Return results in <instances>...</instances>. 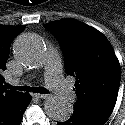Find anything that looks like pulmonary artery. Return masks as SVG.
<instances>
[{
	"mask_svg": "<svg viewBox=\"0 0 125 125\" xmlns=\"http://www.w3.org/2000/svg\"><path fill=\"white\" fill-rule=\"evenodd\" d=\"M45 63L46 81L50 88H52L61 99L73 101L76 98V94L61 76L59 59L55 56L48 55Z\"/></svg>",
	"mask_w": 125,
	"mask_h": 125,
	"instance_id": "1",
	"label": "pulmonary artery"
}]
</instances>
